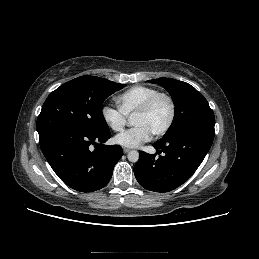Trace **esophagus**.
Listing matches in <instances>:
<instances>
[{"label": "esophagus", "instance_id": "obj_1", "mask_svg": "<svg viewBox=\"0 0 259 259\" xmlns=\"http://www.w3.org/2000/svg\"><path fill=\"white\" fill-rule=\"evenodd\" d=\"M129 151H130L129 148H123V152H124V153H128Z\"/></svg>", "mask_w": 259, "mask_h": 259}]
</instances>
